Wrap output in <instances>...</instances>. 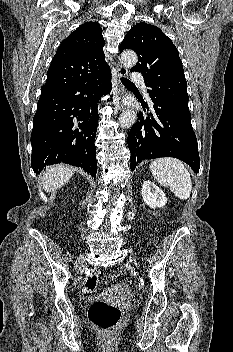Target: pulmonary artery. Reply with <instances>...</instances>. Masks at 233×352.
<instances>
[{
    "label": "pulmonary artery",
    "mask_w": 233,
    "mask_h": 352,
    "mask_svg": "<svg viewBox=\"0 0 233 352\" xmlns=\"http://www.w3.org/2000/svg\"><path fill=\"white\" fill-rule=\"evenodd\" d=\"M131 80L135 83H141V84L144 82L143 76L138 72L132 73Z\"/></svg>",
    "instance_id": "obj_1"
}]
</instances>
